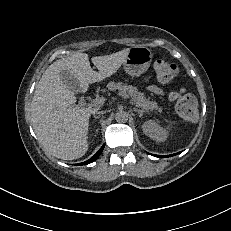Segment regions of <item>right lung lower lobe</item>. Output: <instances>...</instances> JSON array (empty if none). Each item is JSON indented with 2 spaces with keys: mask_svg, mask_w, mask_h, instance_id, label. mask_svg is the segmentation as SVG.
<instances>
[{
  "mask_svg": "<svg viewBox=\"0 0 231 231\" xmlns=\"http://www.w3.org/2000/svg\"><path fill=\"white\" fill-rule=\"evenodd\" d=\"M103 149H104V145L98 150V152L94 156H92L89 160H87L83 163H80L79 165H86V164H89V163L95 161L100 156Z\"/></svg>",
  "mask_w": 231,
  "mask_h": 231,
  "instance_id": "right-lung-lower-lobe-1",
  "label": "right lung lower lobe"
}]
</instances>
